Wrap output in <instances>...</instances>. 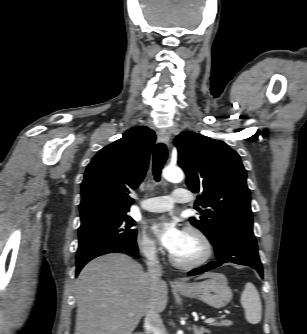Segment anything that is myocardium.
Segmentation results:
<instances>
[{
  "mask_svg": "<svg viewBox=\"0 0 307 334\" xmlns=\"http://www.w3.org/2000/svg\"><path fill=\"white\" fill-rule=\"evenodd\" d=\"M184 232L193 234L199 239L202 253L199 257L191 261L179 260L173 253H170L169 258L171 263L181 269H193L205 264L213 254V246L209 237L200 228L192 225L186 226Z\"/></svg>",
  "mask_w": 307,
  "mask_h": 334,
  "instance_id": "1",
  "label": "myocardium"
}]
</instances>
